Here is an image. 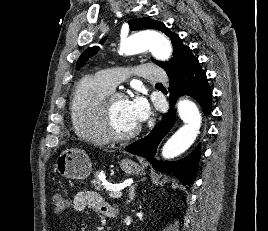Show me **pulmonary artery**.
Wrapping results in <instances>:
<instances>
[{"instance_id":"1","label":"pulmonary artery","mask_w":268,"mask_h":231,"mask_svg":"<svg viewBox=\"0 0 268 231\" xmlns=\"http://www.w3.org/2000/svg\"><path fill=\"white\" fill-rule=\"evenodd\" d=\"M140 76L148 82L164 81L165 73L162 69L154 64L144 63L137 68ZM126 69L122 68H107L99 72L100 79L105 82L110 88L114 89L124 79Z\"/></svg>"}]
</instances>
